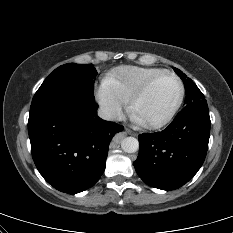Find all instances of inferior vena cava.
Here are the masks:
<instances>
[{
	"instance_id": "inferior-vena-cava-1",
	"label": "inferior vena cava",
	"mask_w": 233,
	"mask_h": 233,
	"mask_svg": "<svg viewBox=\"0 0 233 233\" xmlns=\"http://www.w3.org/2000/svg\"><path fill=\"white\" fill-rule=\"evenodd\" d=\"M98 116L104 120L111 121L117 118V113L112 108L101 106L98 109Z\"/></svg>"
}]
</instances>
